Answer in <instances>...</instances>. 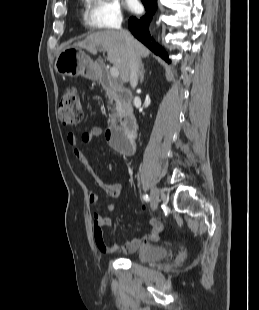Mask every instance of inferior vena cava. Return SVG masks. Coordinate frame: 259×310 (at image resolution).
<instances>
[{"mask_svg":"<svg viewBox=\"0 0 259 310\" xmlns=\"http://www.w3.org/2000/svg\"><path fill=\"white\" fill-rule=\"evenodd\" d=\"M117 29L123 34L125 42L129 50V67L130 75L129 81L132 88H135L138 83V77L140 75L141 58L137 55L134 50V39L128 31L121 28V22L118 24Z\"/></svg>","mask_w":259,"mask_h":310,"instance_id":"602c4592","label":"inferior vena cava"}]
</instances>
